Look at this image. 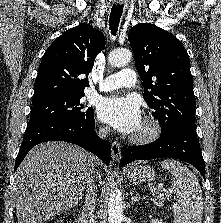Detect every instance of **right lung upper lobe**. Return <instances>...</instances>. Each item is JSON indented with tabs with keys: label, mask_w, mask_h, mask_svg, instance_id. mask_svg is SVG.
I'll use <instances>...</instances> for the list:
<instances>
[{
	"label": "right lung upper lobe",
	"mask_w": 221,
	"mask_h": 223,
	"mask_svg": "<svg viewBox=\"0 0 221 223\" xmlns=\"http://www.w3.org/2000/svg\"><path fill=\"white\" fill-rule=\"evenodd\" d=\"M105 47L104 35L90 24H79L47 49L38 69L32 102L78 93L89 86L95 57Z\"/></svg>",
	"instance_id": "1"
}]
</instances>
